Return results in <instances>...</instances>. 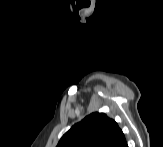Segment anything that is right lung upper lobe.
<instances>
[{
    "label": "right lung upper lobe",
    "mask_w": 163,
    "mask_h": 147,
    "mask_svg": "<svg viewBox=\"0 0 163 147\" xmlns=\"http://www.w3.org/2000/svg\"><path fill=\"white\" fill-rule=\"evenodd\" d=\"M124 138L118 124L104 113H92L76 123L57 147H114Z\"/></svg>",
    "instance_id": "right-lung-upper-lobe-1"
}]
</instances>
